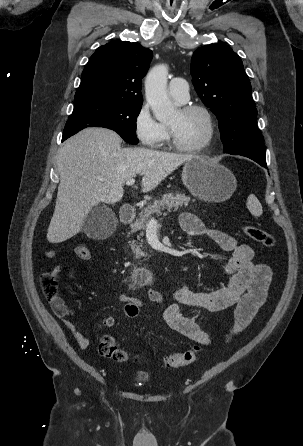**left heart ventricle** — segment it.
I'll list each match as a JSON object with an SVG mask.
<instances>
[{
    "mask_svg": "<svg viewBox=\"0 0 303 446\" xmlns=\"http://www.w3.org/2000/svg\"><path fill=\"white\" fill-rule=\"evenodd\" d=\"M177 141L185 146L199 144L206 137L207 124L200 112L183 113L178 109L168 120Z\"/></svg>",
    "mask_w": 303,
    "mask_h": 446,
    "instance_id": "b2bd125f",
    "label": "left heart ventricle"
}]
</instances>
